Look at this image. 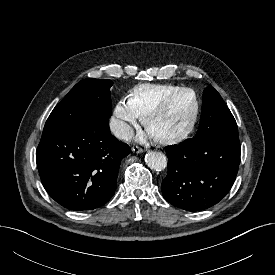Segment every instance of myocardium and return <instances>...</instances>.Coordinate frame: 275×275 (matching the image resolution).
Here are the masks:
<instances>
[{
    "instance_id": "1",
    "label": "myocardium",
    "mask_w": 275,
    "mask_h": 275,
    "mask_svg": "<svg viewBox=\"0 0 275 275\" xmlns=\"http://www.w3.org/2000/svg\"><path fill=\"white\" fill-rule=\"evenodd\" d=\"M183 93H189L192 95L193 100H194V108H193V113L192 116L186 125V127L180 131L179 133L167 137H154V140L158 143L161 144H176L179 143L183 140H185L193 131L197 120L199 116V111H200V100L195 92L194 89L189 88V87H180L169 94H167L165 97H163L144 117V125L148 129L150 122L160 113H162L167 106L170 104V102L177 97L180 94Z\"/></svg>"
}]
</instances>
